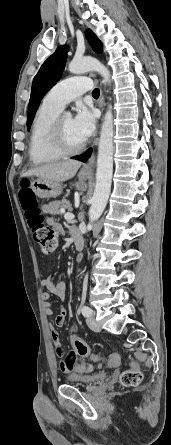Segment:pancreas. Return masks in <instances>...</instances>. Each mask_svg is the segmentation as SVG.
<instances>
[{"label": "pancreas", "mask_w": 171, "mask_h": 445, "mask_svg": "<svg viewBox=\"0 0 171 445\" xmlns=\"http://www.w3.org/2000/svg\"><path fill=\"white\" fill-rule=\"evenodd\" d=\"M52 207H53V213L54 214H59L60 213V208L63 209H70L71 208V204L68 200L63 199L62 201H55L51 203Z\"/></svg>", "instance_id": "cf45deb5"}]
</instances>
